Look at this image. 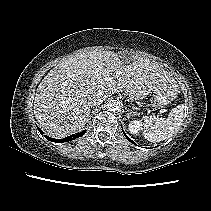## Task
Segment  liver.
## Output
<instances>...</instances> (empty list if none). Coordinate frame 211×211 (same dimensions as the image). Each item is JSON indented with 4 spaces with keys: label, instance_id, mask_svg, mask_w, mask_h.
Listing matches in <instances>:
<instances>
[{
    "label": "liver",
    "instance_id": "6515ba94",
    "mask_svg": "<svg viewBox=\"0 0 211 211\" xmlns=\"http://www.w3.org/2000/svg\"><path fill=\"white\" fill-rule=\"evenodd\" d=\"M120 73L119 77L114 79ZM106 77H112L106 80ZM174 82L156 62L133 56L125 61L113 51L94 50L63 60L38 85L34 115L50 136L60 138L81 131L90 114L89 99H104L135 88L148 89Z\"/></svg>",
    "mask_w": 211,
    "mask_h": 211
}]
</instances>
